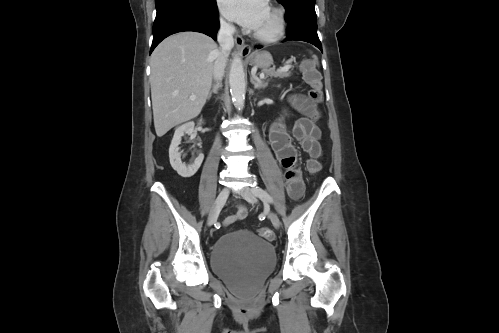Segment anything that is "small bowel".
<instances>
[{"label": "small bowel", "mask_w": 499, "mask_h": 333, "mask_svg": "<svg viewBox=\"0 0 499 333\" xmlns=\"http://www.w3.org/2000/svg\"><path fill=\"white\" fill-rule=\"evenodd\" d=\"M294 107L303 115L293 126L290 134L285 125L277 120L271 127L270 144L272 150L285 169V188L292 199L301 197L304 183L301 171L298 168V147L306 152L310 158L319 159L322 156L320 128L313 122V115L317 113L314 105L310 104L306 96L298 94L291 98ZM297 144V145H296ZM247 216V209L240 206L238 211L225 220L231 224Z\"/></svg>", "instance_id": "obj_1"}]
</instances>
